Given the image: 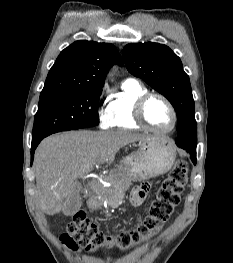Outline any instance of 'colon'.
<instances>
[{
    "mask_svg": "<svg viewBox=\"0 0 233 263\" xmlns=\"http://www.w3.org/2000/svg\"><path fill=\"white\" fill-rule=\"evenodd\" d=\"M188 164L178 160L156 192L148 216L134 230L108 235L89 222L83 213H76L62 234L63 243L69 248L79 246L86 251L116 245L129 249L140 241L155 236L180 201V194L187 183Z\"/></svg>",
    "mask_w": 233,
    "mask_h": 263,
    "instance_id": "1",
    "label": "colon"
}]
</instances>
